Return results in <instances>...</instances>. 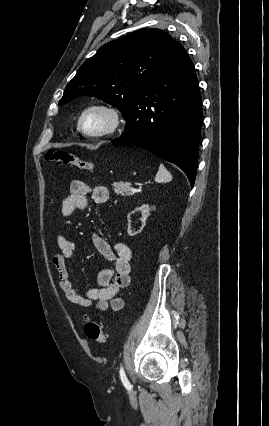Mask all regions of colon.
<instances>
[{
  "mask_svg": "<svg viewBox=\"0 0 269 426\" xmlns=\"http://www.w3.org/2000/svg\"><path fill=\"white\" fill-rule=\"evenodd\" d=\"M46 159L58 165L75 166L81 170H92L94 164L90 161L83 160L75 154L64 150H50L46 153ZM84 333L92 341L100 344L108 342V336L102 325L91 317L85 319Z\"/></svg>",
  "mask_w": 269,
  "mask_h": 426,
  "instance_id": "1",
  "label": "colon"
}]
</instances>
